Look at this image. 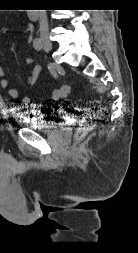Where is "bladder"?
I'll return each instance as SVG.
<instances>
[{"instance_id":"1","label":"bladder","mask_w":138,"mask_h":253,"mask_svg":"<svg viewBox=\"0 0 138 253\" xmlns=\"http://www.w3.org/2000/svg\"><path fill=\"white\" fill-rule=\"evenodd\" d=\"M35 108V106H34ZM49 111V109H45ZM49 113L43 111H21L19 112L20 122L27 128L33 129L39 132H47L57 127V124L53 121L47 120Z\"/></svg>"}]
</instances>
